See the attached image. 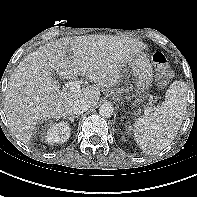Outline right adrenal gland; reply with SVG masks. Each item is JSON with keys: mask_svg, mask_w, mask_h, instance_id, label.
I'll use <instances>...</instances> for the list:
<instances>
[{"mask_svg": "<svg viewBox=\"0 0 197 197\" xmlns=\"http://www.w3.org/2000/svg\"><path fill=\"white\" fill-rule=\"evenodd\" d=\"M78 118V116H70L68 117L69 121H71V123L74 122V119Z\"/></svg>", "mask_w": 197, "mask_h": 197, "instance_id": "1", "label": "right adrenal gland"}]
</instances>
